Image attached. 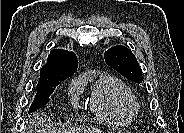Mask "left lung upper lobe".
<instances>
[{
	"instance_id": "left-lung-upper-lobe-1",
	"label": "left lung upper lobe",
	"mask_w": 184,
	"mask_h": 133,
	"mask_svg": "<svg viewBox=\"0 0 184 133\" xmlns=\"http://www.w3.org/2000/svg\"><path fill=\"white\" fill-rule=\"evenodd\" d=\"M104 58L106 63L132 82L142 83V70L135 55L125 46L118 45L108 49Z\"/></svg>"
}]
</instances>
